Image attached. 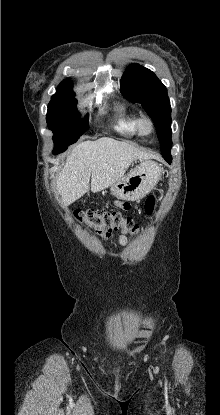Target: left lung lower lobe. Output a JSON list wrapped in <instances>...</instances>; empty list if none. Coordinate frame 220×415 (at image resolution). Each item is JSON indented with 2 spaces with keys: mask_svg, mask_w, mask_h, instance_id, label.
<instances>
[{
  "mask_svg": "<svg viewBox=\"0 0 220 415\" xmlns=\"http://www.w3.org/2000/svg\"><path fill=\"white\" fill-rule=\"evenodd\" d=\"M164 159L170 163L172 161V156L171 155H163Z\"/></svg>",
  "mask_w": 220,
  "mask_h": 415,
  "instance_id": "0a47b994",
  "label": "left lung lower lobe"
}]
</instances>
